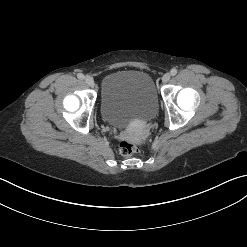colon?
<instances>
[{"label": "colon", "instance_id": "5ec220e1", "mask_svg": "<svg viewBox=\"0 0 247 247\" xmlns=\"http://www.w3.org/2000/svg\"><path fill=\"white\" fill-rule=\"evenodd\" d=\"M118 151L121 156L129 157L137 154L140 151V147L135 143L123 141L120 143Z\"/></svg>", "mask_w": 247, "mask_h": 247}]
</instances>
